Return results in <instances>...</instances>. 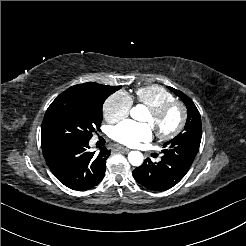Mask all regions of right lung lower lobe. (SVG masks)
<instances>
[{
  "label": "right lung lower lobe",
  "instance_id": "obj_1",
  "mask_svg": "<svg viewBox=\"0 0 246 246\" xmlns=\"http://www.w3.org/2000/svg\"><path fill=\"white\" fill-rule=\"evenodd\" d=\"M89 141L41 142L45 160L55 177L73 190L85 191L99 184L104 177L110 150L88 151Z\"/></svg>",
  "mask_w": 246,
  "mask_h": 246
}]
</instances>
